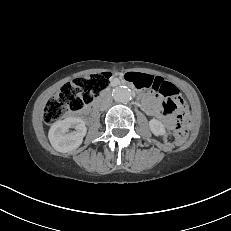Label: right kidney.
Masks as SVG:
<instances>
[{
  "instance_id": "1",
  "label": "right kidney",
  "mask_w": 231,
  "mask_h": 231,
  "mask_svg": "<svg viewBox=\"0 0 231 231\" xmlns=\"http://www.w3.org/2000/svg\"><path fill=\"white\" fill-rule=\"evenodd\" d=\"M70 128L73 132L67 133ZM85 122L80 118H66L52 124L48 138L52 147L59 152H69L78 148L86 135Z\"/></svg>"
}]
</instances>
